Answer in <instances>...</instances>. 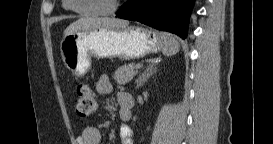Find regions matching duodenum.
Instances as JSON below:
<instances>
[{
	"label": "duodenum",
	"mask_w": 273,
	"mask_h": 144,
	"mask_svg": "<svg viewBox=\"0 0 273 144\" xmlns=\"http://www.w3.org/2000/svg\"><path fill=\"white\" fill-rule=\"evenodd\" d=\"M120 105L125 110V120H129L132 116V108L134 106V99L128 94H123L120 98Z\"/></svg>",
	"instance_id": "obj_1"
}]
</instances>
